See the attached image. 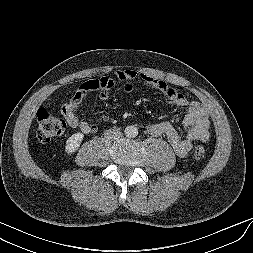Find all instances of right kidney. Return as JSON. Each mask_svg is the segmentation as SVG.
<instances>
[{"mask_svg": "<svg viewBox=\"0 0 253 253\" xmlns=\"http://www.w3.org/2000/svg\"><path fill=\"white\" fill-rule=\"evenodd\" d=\"M84 135L80 132L73 134L66 141L65 151L68 154L74 153L80 147Z\"/></svg>", "mask_w": 253, "mask_h": 253, "instance_id": "ca27d5eb", "label": "right kidney"}]
</instances>
